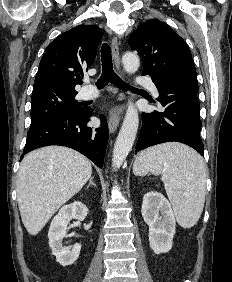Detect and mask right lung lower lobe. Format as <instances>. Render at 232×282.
<instances>
[{
  "label": "right lung lower lobe",
  "instance_id": "1",
  "mask_svg": "<svg viewBox=\"0 0 232 282\" xmlns=\"http://www.w3.org/2000/svg\"><path fill=\"white\" fill-rule=\"evenodd\" d=\"M92 112V109L86 108L80 113L59 114L30 128L24 154L43 146L61 145L79 151L102 168L109 131L104 116H101L100 128L93 129L87 126Z\"/></svg>",
  "mask_w": 232,
  "mask_h": 282
}]
</instances>
